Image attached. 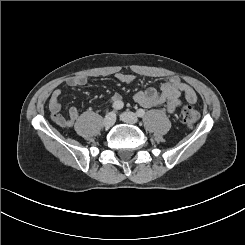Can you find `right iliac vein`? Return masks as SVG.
<instances>
[{
    "label": "right iliac vein",
    "instance_id": "1",
    "mask_svg": "<svg viewBox=\"0 0 245 245\" xmlns=\"http://www.w3.org/2000/svg\"><path fill=\"white\" fill-rule=\"evenodd\" d=\"M115 120H116V116H115V113L114 112H110L108 113L104 120H103V125L106 127V128H110L114 125L115 123Z\"/></svg>",
    "mask_w": 245,
    "mask_h": 245
}]
</instances>
